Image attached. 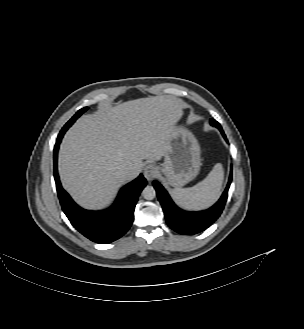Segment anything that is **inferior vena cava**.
<instances>
[{"instance_id": "602c4592", "label": "inferior vena cava", "mask_w": 304, "mask_h": 329, "mask_svg": "<svg viewBox=\"0 0 304 329\" xmlns=\"http://www.w3.org/2000/svg\"><path fill=\"white\" fill-rule=\"evenodd\" d=\"M131 171H132V168L130 166H127V165H123L119 169V172L124 177L128 176L131 173Z\"/></svg>"}]
</instances>
